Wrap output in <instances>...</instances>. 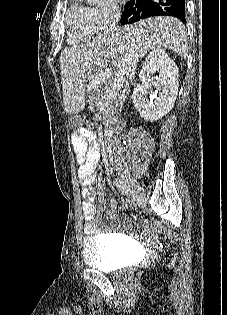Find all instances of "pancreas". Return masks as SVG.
I'll return each instance as SVG.
<instances>
[{"label":"pancreas","instance_id":"obj_1","mask_svg":"<svg viewBox=\"0 0 227 315\" xmlns=\"http://www.w3.org/2000/svg\"><path fill=\"white\" fill-rule=\"evenodd\" d=\"M93 79L94 78L90 80V97L94 100L96 108L100 110L104 125L107 129H109L113 120V94H109L107 91L99 90L98 84H92Z\"/></svg>","mask_w":227,"mask_h":315}]
</instances>
